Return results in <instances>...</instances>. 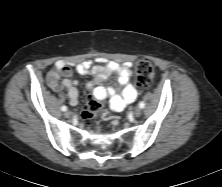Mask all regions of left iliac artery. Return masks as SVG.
<instances>
[{
	"instance_id": "1",
	"label": "left iliac artery",
	"mask_w": 222,
	"mask_h": 187,
	"mask_svg": "<svg viewBox=\"0 0 222 187\" xmlns=\"http://www.w3.org/2000/svg\"><path fill=\"white\" fill-rule=\"evenodd\" d=\"M139 107H140V108H144V107H145V103H144L143 101L140 102V103H139Z\"/></svg>"
}]
</instances>
